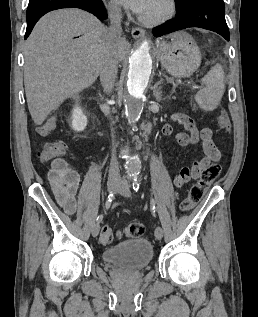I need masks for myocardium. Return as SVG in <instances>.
<instances>
[{
	"mask_svg": "<svg viewBox=\"0 0 258 317\" xmlns=\"http://www.w3.org/2000/svg\"><path fill=\"white\" fill-rule=\"evenodd\" d=\"M165 5L166 11L153 18L150 16V11L156 6ZM175 13V4L172 0H151L142 10L138 12V20L141 24L147 27H158L170 20Z\"/></svg>",
	"mask_w": 258,
	"mask_h": 317,
	"instance_id": "obj_1",
	"label": "myocardium"
}]
</instances>
